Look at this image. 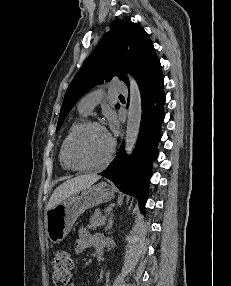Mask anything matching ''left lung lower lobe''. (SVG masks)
Wrapping results in <instances>:
<instances>
[{
    "mask_svg": "<svg viewBox=\"0 0 231 286\" xmlns=\"http://www.w3.org/2000/svg\"><path fill=\"white\" fill-rule=\"evenodd\" d=\"M136 80L141 91L142 120L134 155L129 160L121 146L115 159L99 175L111 180L122 192L137 198L144 213L151 167L158 155L156 147L164 120V77L159 59L151 62Z\"/></svg>",
    "mask_w": 231,
    "mask_h": 286,
    "instance_id": "left-lung-lower-lobe-1",
    "label": "left lung lower lobe"
}]
</instances>
